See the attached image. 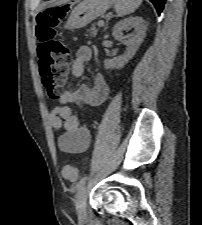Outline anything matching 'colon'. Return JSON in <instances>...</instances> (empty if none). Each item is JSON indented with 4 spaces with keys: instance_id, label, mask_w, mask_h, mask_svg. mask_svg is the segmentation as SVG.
<instances>
[{
    "instance_id": "5ec220e1",
    "label": "colon",
    "mask_w": 202,
    "mask_h": 225,
    "mask_svg": "<svg viewBox=\"0 0 202 225\" xmlns=\"http://www.w3.org/2000/svg\"><path fill=\"white\" fill-rule=\"evenodd\" d=\"M62 8H49L36 16L35 36L40 53V77L51 100L59 98L71 69L72 57L67 47L55 37V28L61 20ZM66 179H76L77 169L71 163L62 167Z\"/></svg>"
}]
</instances>
